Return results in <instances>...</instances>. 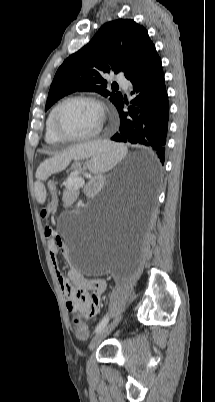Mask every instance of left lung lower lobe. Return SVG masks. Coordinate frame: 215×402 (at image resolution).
I'll return each mask as SVG.
<instances>
[{
	"label": "left lung lower lobe",
	"instance_id": "0a47b994",
	"mask_svg": "<svg viewBox=\"0 0 215 402\" xmlns=\"http://www.w3.org/2000/svg\"><path fill=\"white\" fill-rule=\"evenodd\" d=\"M128 80L133 84L128 112H124L125 99L116 106L120 116L119 131L111 140L132 144H142L151 148L159 161L164 163L167 141L169 101L165 86L160 57H156ZM159 171V163L154 162L152 170L144 171V178L152 182Z\"/></svg>",
	"mask_w": 215,
	"mask_h": 402
}]
</instances>
